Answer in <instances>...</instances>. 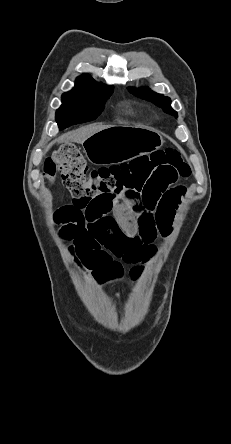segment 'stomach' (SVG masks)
<instances>
[{
  "label": "stomach",
  "mask_w": 231,
  "mask_h": 444,
  "mask_svg": "<svg viewBox=\"0 0 231 444\" xmlns=\"http://www.w3.org/2000/svg\"><path fill=\"white\" fill-rule=\"evenodd\" d=\"M164 140L157 130L144 125L112 126L83 142L87 159L94 164L121 163L159 149Z\"/></svg>",
  "instance_id": "obj_1"
}]
</instances>
